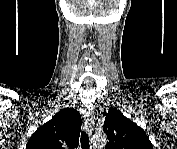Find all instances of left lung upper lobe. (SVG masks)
Listing matches in <instances>:
<instances>
[{
  "label": "left lung upper lobe",
  "instance_id": "1",
  "mask_svg": "<svg viewBox=\"0 0 177 149\" xmlns=\"http://www.w3.org/2000/svg\"><path fill=\"white\" fill-rule=\"evenodd\" d=\"M105 115L104 131L109 142L106 149H153L145 131L116 108Z\"/></svg>",
  "mask_w": 177,
  "mask_h": 149
}]
</instances>
